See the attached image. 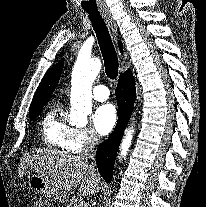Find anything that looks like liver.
<instances>
[{"mask_svg": "<svg viewBox=\"0 0 206 207\" xmlns=\"http://www.w3.org/2000/svg\"><path fill=\"white\" fill-rule=\"evenodd\" d=\"M26 168L44 178L51 188L52 200L61 203L68 200V192L78 185V194L87 196L98 193L103 184L100 176L89 169L87 161L56 150H37L25 155L19 169L20 177Z\"/></svg>", "mask_w": 206, "mask_h": 207, "instance_id": "6515ba94", "label": "liver"}]
</instances>
